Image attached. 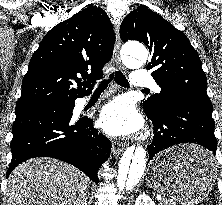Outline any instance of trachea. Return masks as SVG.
Wrapping results in <instances>:
<instances>
[{"label":"trachea","mask_w":222,"mask_h":205,"mask_svg":"<svg viewBox=\"0 0 222 205\" xmlns=\"http://www.w3.org/2000/svg\"><path fill=\"white\" fill-rule=\"evenodd\" d=\"M114 79V81L123 87H129V83L128 80L126 79V77L123 75V73L121 71H115L113 73L110 74L108 79H104L102 80L96 90H104L107 88L108 84Z\"/></svg>","instance_id":"trachea-1"}]
</instances>
